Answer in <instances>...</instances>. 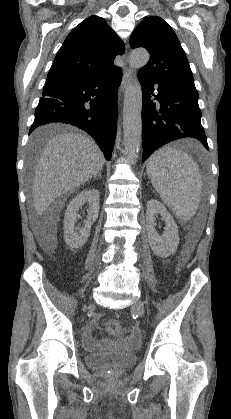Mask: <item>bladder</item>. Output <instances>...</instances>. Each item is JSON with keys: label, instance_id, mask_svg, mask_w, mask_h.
Listing matches in <instances>:
<instances>
[{"label": "bladder", "instance_id": "31cf9c89", "mask_svg": "<svg viewBox=\"0 0 231 419\" xmlns=\"http://www.w3.org/2000/svg\"><path fill=\"white\" fill-rule=\"evenodd\" d=\"M136 362L137 356L135 354L122 351L92 353L85 356V364L94 369L104 367L123 369L134 365Z\"/></svg>", "mask_w": 231, "mask_h": 419}]
</instances>
